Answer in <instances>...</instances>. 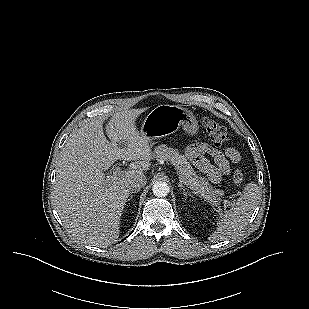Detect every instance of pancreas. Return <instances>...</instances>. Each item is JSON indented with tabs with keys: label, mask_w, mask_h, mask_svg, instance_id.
<instances>
[{
	"label": "pancreas",
	"mask_w": 309,
	"mask_h": 309,
	"mask_svg": "<svg viewBox=\"0 0 309 309\" xmlns=\"http://www.w3.org/2000/svg\"><path fill=\"white\" fill-rule=\"evenodd\" d=\"M154 157L157 160L171 162L195 194L203 197L210 204L219 205L221 201L219 197L223 196L224 192L214 189L205 178L198 176L185 156L181 155L177 149L159 145L154 149Z\"/></svg>",
	"instance_id": "pancreas-1"
}]
</instances>
